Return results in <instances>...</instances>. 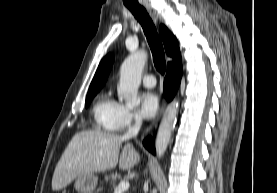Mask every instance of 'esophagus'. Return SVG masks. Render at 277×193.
I'll return each mask as SVG.
<instances>
[{
    "instance_id": "obj_1",
    "label": "esophagus",
    "mask_w": 277,
    "mask_h": 193,
    "mask_svg": "<svg viewBox=\"0 0 277 193\" xmlns=\"http://www.w3.org/2000/svg\"><path fill=\"white\" fill-rule=\"evenodd\" d=\"M143 5H144L145 9L147 10V12L149 13V15L151 16V18L153 19V21L158 22V14L156 13L155 9L150 5V3L146 2ZM164 107H165V103L163 102L160 106V109L157 113L156 118L148 126V128L146 129V132L149 131L151 128H153V126H155L158 123V121H159V119H160V117H161V115L164 111Z\"/></svg>"
}]
</instances>
